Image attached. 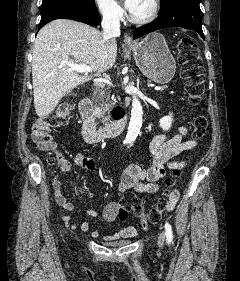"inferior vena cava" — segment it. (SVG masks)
<instances>
[{"label": "inferior vena cava", "instance_id": "inferior-vena-cava-1", "mask_svg": "<svg viewBox=\"0 0 240 281\" xmlns=\"http://www.w3.org/2000/svg\"><path fill=\"white\" fill-rule=\"evenodd\" d=\"M103 19L101 26L103 28L104 42H113L120 36V20L116 11L111 8H104L102 11Z\"/></svg>", "mask_w": 240, "mask_h": 281}]
</instances>
